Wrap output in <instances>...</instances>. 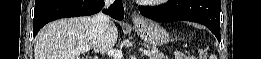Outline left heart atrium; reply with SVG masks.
<instances>
[{
	"label": "left heart atrium",
	"instance_id": "1",
	"mask_svg": "<svg viewBox=\"0 0 261 59\" xmlns=\"http://www.w3.org/2000/svg\"><path fill=\"white\" fill-rule=\"evenodd\" d=\"M139 2L141 3H155V2H158L156 0H138Z\"/></svg>",
	"mask_w": 261,
	"mask_h": 59
}]
</instances>
